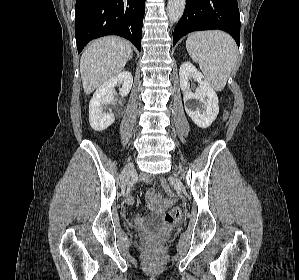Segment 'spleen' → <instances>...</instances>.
<instances>
[{
	"mask_svg": "<svg viewBox=\"0 0 299 280\" xmlns=\"http://www.w3.org/2000/svg\"><path fill=\"white\" fill-rule=\"evenodd\" d=\"M186 49L212 88L223 90L237 61L238 49L232 37L222 31L195 32L187 38Z\"/></svg>",
	"mask_w": 299,
	"mask_h": 280,
	"instance_id": "spleen-1",
	"label": "spleen"
}]
</instances>
